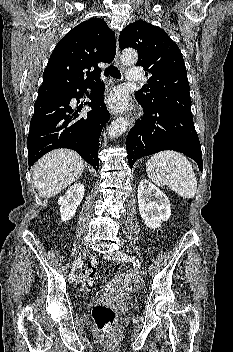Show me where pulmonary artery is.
<instances>
[{"instance_id": "1", "label": "pulmonary artery", "mask_w": 233, "mask_h": 352, "mask_svg": "<svg viewBox=\"0 0 233 352\" xmlns=\"http://www.w3.org/2000/svg\"><path fill=\"white\" fill-rule=\"evenodd\" d=\"M126 76H127V79L132 82L139 81L141 78L140 71L136 67L129 68Z\"/></svg>"}]
</instances>
